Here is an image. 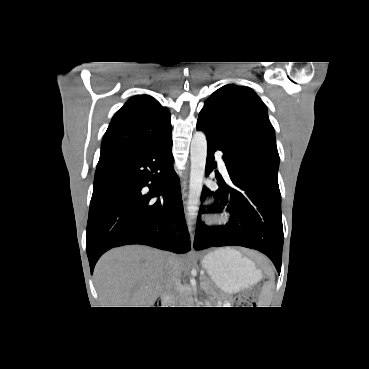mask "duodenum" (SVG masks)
<instances>
[{
    "instance_id": "1",
    "label": "duodenum",
    "mask_w": 369,
    "mask_h": 369,
    "mask_svg": "<svg viewBox=\"0 0 369 369\" xmlns=\"http://www.w3.org/2000/svg\"><path fill=\"white\" fill-rule=\"evenodd\" d=\"M170 300H171V296L169 294H164L163 295V301L164 302L168 303V302H170Z\"/></svg>"
}]
</instances>
